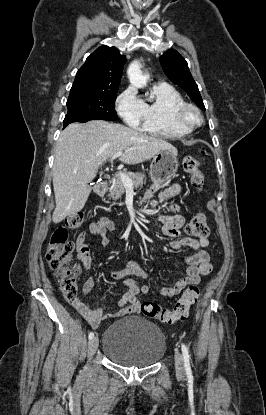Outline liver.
I'll use <instances>...</instances> for the list:
<instances>
[{
  "instance_id": "6515ba94",
  "label": "liver",
  "mask_w": 266,
  "mask_h": 415,
  "mask_svg": "<svg viewBox=\"0 0 266 415\" xmlns=\"http://www.w3.org/2000/svg\"><path fill=\"white\" fill-rule=\"evenodd\" d=\"M163 149L177 154L172 144L120 124L104 120L70 124L61 132L55 149L53 222L60 223L83 209L98 168L116 152L125 151L121 162L138 164Z\"/></svg>"
}]
</instances>
